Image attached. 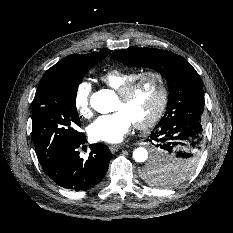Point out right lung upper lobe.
Instances as JSON below:
<instances>
[{"label": "right lung upper lobe", "mask_w": 233, "mask_h": 233, "mask_svg": "<svg viewBox=\"0 0 233 233\" xmlns=\"http://www.w3.org/2000/svg\"><path fill=\"white\" fill-rule=\"evenodd\" d=\"M108 54V52H95L84 55H69L59 61L57 64L53 65L45 72V74L41 78L38 88H41L50 82L62 79L65 75L74 72L75 70L85 66L91 61L100 58L104 59Z\"/></svg>", "instance_id": "right-lung-upper-lobe-1"}]
</instances>
